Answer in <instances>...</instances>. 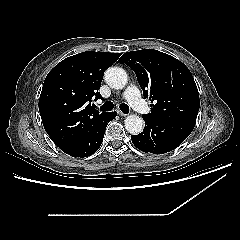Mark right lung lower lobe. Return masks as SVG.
<instances>
[{"label": "right lung lower lobe", "mask_w": 240, "mask_h": 240, "mask_svg": "<svg viewBox=\"0 0 240 240\" xmlns=\"http://www.w3.org/2000/svg\"><path fill=\"white\" fill-rule=\"evenodd\" d=\"M116 115L117 112L106 113L104 118L95 127L93 133L73 145L61 148V150L72 157L82 158L92 155L102 144L107 124L113 120Z\"/></svg>", "instance_id": "98d812e1"}]
</instances>
